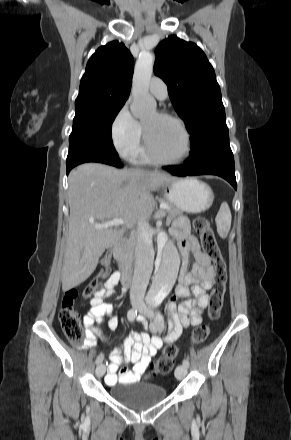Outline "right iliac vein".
<instances>
[{"instance_id": "right-iliac-vein-1", "label": "right iliac vein", "mask_w": 291, "mask_h": 440, "mask_svg": "<svg viewBox=\"0 0 291 440\" xmlns=\"http://www.w3.org/2000/svg\"><path fill=\"white\" fill-rule=\"evenodd\" d=\"M132 306L135 307V308H138L137 302L136 301H132ZM105 371H106L105 365L104 364H99L97 366V368H96V375H97V377H99V378L102 377L104 375Z\"/></svg>"}]
</instances>
